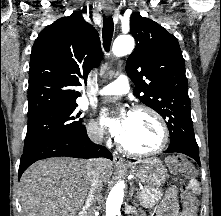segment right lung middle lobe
<instances>
[{"label": "right lung middle lobe", "instance_id": "1", "mask_svg": "<svg viewBox=\"0 0 221 216\" xmlns=\"http://www.w3.org/2000/svg\"><path fill=\"white\" fill-rule=\"evenodd\" d=\"M76 107L77 104H73L28 115V127L23 152L54 138L80 130L84 125L82 124V119H78L80 113L76 114L74 112Z\"/></svg>", "mask_w": 221, "mask_h": 216}]
</instances>
